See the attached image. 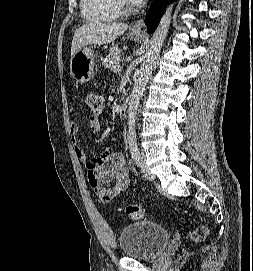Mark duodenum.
<instances>
[{
	"label": "duodenum",
	"instance_id": "obj_1",
	"mask_svg": "<svg viewBox=\"0 0 253 271\" xmlns=\"http://www.w3.org/2000/svg\"><path fill=\"white\" fill-rule=\"evenodd\" d=\"M127 111H128V104L125 102L123 104H121L119 111H118V115L120 118H124L127 115Z\"/></svg>",
	"mask_w": 253,
	"mask_h": 271
}]
</instances>
